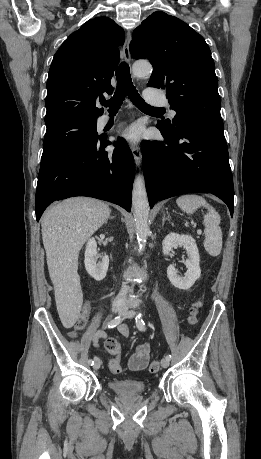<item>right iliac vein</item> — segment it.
Returning <instances> with one entry per match:
<instances>
[{
  "label": "right iliac vein",
  "instance_id": "63e3f726",
  "mask_svg": "<svg viewBox=\"0 0 261 459\" xmlns=\"http://www.w3.org/2000/svg\"><path fill=\"white\" fill-rule=\"evenodd\" d=\"M124 307H125L124 304L119 303V302H115V303L112 305V311H113L114 313H118V312L121 313V312L123 311ZM101 363H102L101 360H100L99 358H97V359L95 360V362H94L93 368H94L95 370L99 369L100 366H101Z\"/></svg>",
  "mask_w": 261,
  "mask_h": 459
}]
</instances>
